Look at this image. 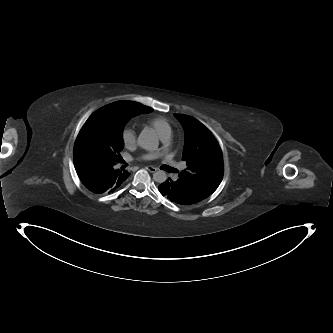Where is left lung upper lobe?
Here are the masks:
<instances>
[{"instance_id":"1","label":"left lung upper lobe","mask_w":333,"mask_h":333,"mask_svg":"<svg viewBox=\"0 0 333 333\" xmlns=\"http://www.w3.org/2000/svg\"><path fill=\"white\" fill-rule=\"evenodd\" d=\"M185 131L182 159L186 168L176 177L200 196L207 198L219 186L223 176V157L213 134L196 119L174 115Z\"/></svg>"}]
</instances>
